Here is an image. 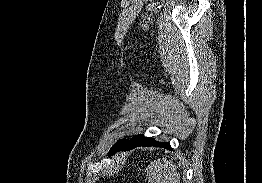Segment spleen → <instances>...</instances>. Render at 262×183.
I'll return each mask as SVG.
<instances>
[{
  "label": "spleen",
  "instance_id": "obj_1",
  "mask_svg": "<svg viewBox=\"0 0 262 183\" xmlns=\"http://www.w3.org/2000/svg\"><path fill=\"white\" fill-rule=\"evenodd\" d=\"M146 178L150 183H180L175 165L166 159L151 162L146 168Z\"/></svg>",
  "mask_w": 262,
  "mask_h": 183
}]
</instances>
